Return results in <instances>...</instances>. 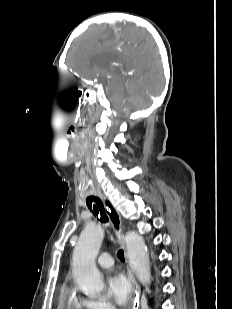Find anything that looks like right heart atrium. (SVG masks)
Listing matches in <instances>:
<instances>
[{"instance_id": "right-heart-atrium-1", "label": "right heart atrium", "mask_w": 232, "mask_h": 309, "mask_svg": "<svg viewBox=\"0 0 232 309\" xmlns=\"http://www.w3.org/2000/svg\"><path fill=\"white\" fill-rule=\"evenodd\" d=\"M84 309H115L114 306L105 299H81Z\"/></svg>"}]
</instances>
